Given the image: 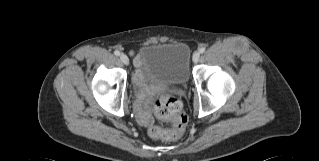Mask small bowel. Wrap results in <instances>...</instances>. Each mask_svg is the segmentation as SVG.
Wrapping results in <instances>:
<instances>
[{
  "label": "small bowel",
  "instance_id": "small-bowel-1",
  "mask_svg": "<svg viewBox=\"0 0 319 161\" xmlns=\"http://www.w3.org/2000/svg\"><path fill=\"white\" fill-rule=\"evenodd\" d=\"M134 81L138 85H141L143 81V77H142L138 62H136V70L134 72Z\"/></svg>",
  "mask_w": 319,
  "mask_h": 161
}]
</instances>
